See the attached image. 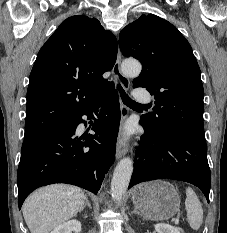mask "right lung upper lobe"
Wrapping results in <instances>:
<instances>
[{"label": "right lung upper lobe", "instance_id": "1", "mask_svg": "<svg viewBox=\"0 0 227 233\" xmlns=\"http://www.w3.org/2000/svg\"><path fill=\"white\" fill-rule=\"evenodd\" d=\"M117 58V40L95 18L64 20L40 49L27 90L25 137L83 113L113 90L102 77Z\"/></svg>", "mask_w": 227, "mask_h": 233}]
</instances>
